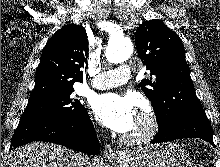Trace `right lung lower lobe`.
Segmentation results:
<instances>
[{
  "label": "right lung lower lobe",
  "instance_id": "obj_1",
  "mask_svg": "<svg viewBox=\"0 0 220 167\" xmlns=\"http://www.w3.org/2000/svg\"><path fill=\"white\" fill-rule=\"evenodd\" d=\"M33 141L58 143L89 155L99 151L95 129L86 109L69 118L50 116L20 121L10 150Z\"/></svg>",
  "mask_w": 220,
  "mask_h": 167
}]
</instances>
